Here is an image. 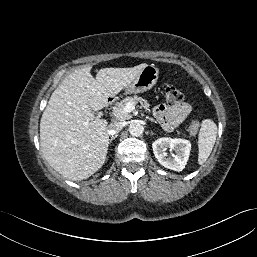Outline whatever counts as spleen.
<instances>
[{
	"label": "spleen",
	"mask_w": 257,
	"mask_h": 257,
	"mask_svg": "<svg viewBox=\"0 0 257 257\" xmlns=\"http://www.w3.org/2000/svg\"><path fill=\"white\" fill-rule=\"evenodd\" d=\"M217 136V125L211 119H205L201 123L198 135V163L202 165L210 156Z\"/></svg>",
	"instance_id": "spleen-1"
}]
</instances>
